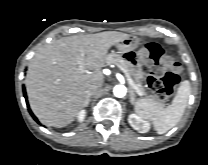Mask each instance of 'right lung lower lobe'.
I'll use <instances>...</instances> for the list:
<instances>
[{
	"label": "right lung lower lobe",
	"instance_id": "obj_1",
	"mask_svg": "<svg viewBox=\"0 0 208 165\" xmlns=\"http://www.w3.org/2000/svg\"><path fill=\"white\" fill-rule=\"evenodd\" d=\"M23 94H24V97H25L26 102H27V96H26L25 89H23ZM27 106H28V108H29V105H28V104H27ZM28 110H29L31 116L34 118V120L38 122L37 118L34 116V114L32 113V111H31L30 109H28ZM38 123H39V122H38Z\"/></svg>",
	"mask_w": 208,
	"mask_h": 165
}]
</instances>
